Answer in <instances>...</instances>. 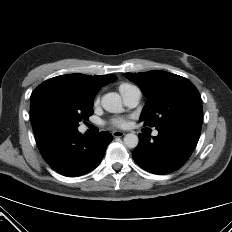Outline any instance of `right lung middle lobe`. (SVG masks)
I'll use <instances>...</instances> for the list:
<instances>
[{
  "instance_id": "right-lung-middle-lobe-1",
  "label": "right lung middle lobe",
  "mask_w": 232,
  "mask_h": 232,
  "mask_svg": "<svg viewBox=\"0 0 232 232\" xmlns=\"http://www.w3.org/2000/svg\"><path fill=\"white\" fill-rule=\"evenodd\" d=\"M94 97L79 84L44 82L30 98L34 133L52 129L77 130L81 120L93 114Z\"/></svg>"
}]
</instances>
